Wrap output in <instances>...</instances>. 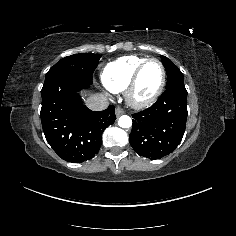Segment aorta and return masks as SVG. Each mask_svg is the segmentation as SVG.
<instances>
[{
    "mask_svg": "<svg viewBox=\"0 0 236 236\" xmlns=\"http://www.w3.org/2000/svg\"><path fill=\"white\" fill-rule=\"evenodd\" d=\"M118 125L121 128H130L132 126V119L128 115H122L118 119Z\"/></svg>",
    "mask_w": 236,
    "mask_h": 236,
    "instance_id": "1",
    "label": "aorta"
}]
</instances>
